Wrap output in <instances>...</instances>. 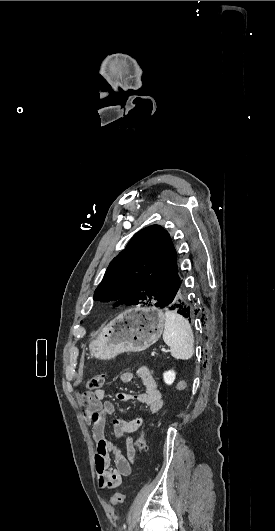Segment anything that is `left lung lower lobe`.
<instances>
[{
    "label": "left lung lower lobe",
    "instance_id": "obj_1",
    "mask_svg": "<svg viewBox=\"0 0 275 531\" xmlns=\"http://www.w3.org/2000/svg\"><path fill=\"white\" fill-rule=\"evenodd\" d=\"M165 307H167L169 310L177 311L179 314L183 315L185 318H188V320L190 321L193 315V311L188 300V294L182 286L181 282L178 291L174 294V296L171 298V300Z\"/></svg>",
    "mask_w": 275,
    "mask_h": 531
}]
</instances>
